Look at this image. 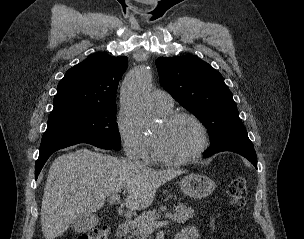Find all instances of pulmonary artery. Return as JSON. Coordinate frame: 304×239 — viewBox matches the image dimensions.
<instances>
[{
  "label": "pulmonary artery",
  "instance_id": "1",
  "mask_svg": "<svg viewBox=\"0 0 304 239\" xmlns=\"http://www.w3.org/2000/svg\"><path fill=\"white\" fill-rule=\"evenodd\" d=\"M150 102L156 109H171L173 107V98L169 93L162 90H154L150 94Z\"/></svg>",
  "mask_w": 304,
  "mask_h": 239
}]
</instances>
